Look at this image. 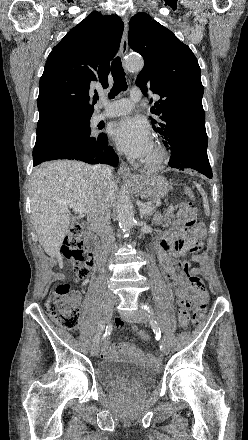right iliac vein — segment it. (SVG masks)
Here are the masks:
<instances>
[{"label": "right iliac vein", "instance_id": "obj_1", "mask_svg": "<svg viewBox=\"0 0 248 440\" xmlns=\"http://www.w3.org/2000/svg\"><path fill=\"white\" fill-rule=\"evenodd\" d=\"M115 305V299L111 296H105L103 300V317L106 321L111 318L113 307ZM99 345L93 344L90 348L92 356H97L99 353Z\"/></svg>", "mask_w": 248, "mask_h": 440}]
</instances>
